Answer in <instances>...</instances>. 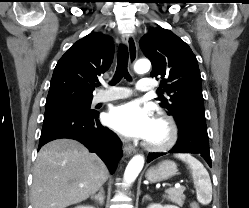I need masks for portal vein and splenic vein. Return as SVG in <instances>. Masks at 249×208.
<instances>
[{"instance_id": "1", "label": "portal vein and splenic vein", "mask_w": 249, "mask_h": 208, "mask_svg": "<svg viewBox=\"0 0 249 208\" xmlns=\"http://www.w3.org/2000/svg\"><path fill=\"white\" fill-rule=\"evenodd\" d=\"M80 187H83V185H80ZM175 188H176V189L180 188V184H179V183H176V184H175Z\"/></svg>"}]
</instances>
